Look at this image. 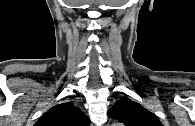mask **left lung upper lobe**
<instances>
[{"instance_id":"left-lung-upper-lobe-1","label":"left lung upper lobe","mask_w":195,"mask_h":126,"mask_svg":"<svg viewBox=\"0 0 195 126\" xmlns=\"http://www.w3.org/2000/svg\"><path fill=\"white\" fill-rule=\"evenodd\" d=\"M108 115L125 126H163L153 113L126 97L118 100Z\"/></svg>"}]
</instances>
